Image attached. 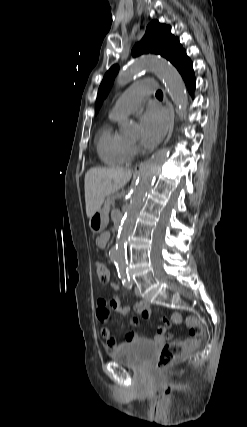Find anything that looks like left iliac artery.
<instances>
[{"label":"left iliac artery","instance_id":"1","mask_svg":"<svg viewBox=\"0 0 247 427\" xmlns=\"http://www.w3.org/2000/svg\"><path fill=\"white\" fill-rule=\"evenodd\" d=\"M119 277L122 280V283L126 288H128V289L132 288V282H131L130 275L128 274V272L119 275Z\"/></svg>","mask_w":247,"mask_h":427}]
</instances>
